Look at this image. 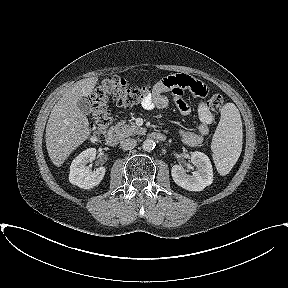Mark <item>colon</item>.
I'll return each mask as SVG.
<instances>
[{
  "instance_id": "5ec220e1",
  "label": "colon",
  "mask_w": 288,
  "mask_h": 288,
  "mask_svg": "<svg viewBox=\"0 0 288 288\" xmlns=\"http://www.w3.org/2000/svg\"><path fill=\"white\" fill-rule=\"evenodd\" d=\"M150 93V87H130L125 79L117 75H110L105 78L91 95L92 140L101 142L105 138L112 120L108 109L110 99L120 106L132 107L142 103ZM222 105L223 97L220 94H214L208 102V107L214 111H218Z\"/></svg>"
}]
</instances>
